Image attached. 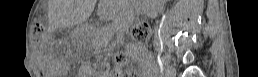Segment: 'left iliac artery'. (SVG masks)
I'll return each instance as SVG.
<instances>
[{
    "label": "left iliac artery",
    "mask_w": 258,
    "mask_h": 77,
    "mask_svg": "<svg viewBox=\"0 0 258 77\" xmlns=\"http://www.w3.org/2000/svg\"><path fill=\"white\" fill-rule=\"evenodd\" d=\"M161 52H162V51L158 50V59H160Z\"/></svg>",
    "instance_id": "1"
}]
</instances>
